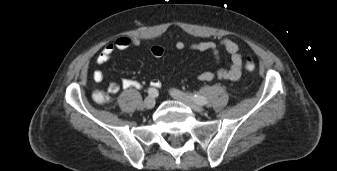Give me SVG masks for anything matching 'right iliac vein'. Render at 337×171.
<instances>
[{"label": "right iliac vein", "instance_id": "1", "mask_svg": "<svg viewBox=\"0 0 337 171\" xmlns=\"http://www.w3.org/2000/svg\"><path fill=\"white\" fill-rule=\"evenodd\" d=\"M155 98L152 96H148L145 100H144V106L147 109H152L155 106Z\"/></svg>", "mask_w": 337, "mask_h": 171}]
</instances>
